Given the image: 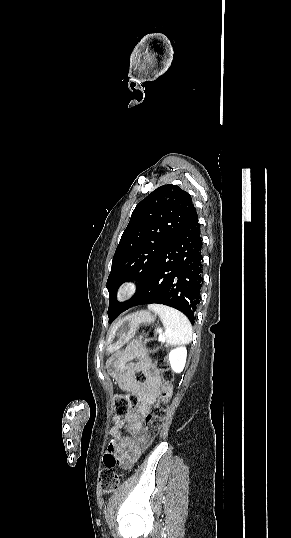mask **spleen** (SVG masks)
I'll list each match as a JSON object with an SVG mask.
<instances>
[{
    "mask_svg": "<svg viewBox=\"0 0 291 538\" xmlns=\"http://www.w3.org/2000/svg\"><path fill=\"white\" fill-rule=\"evenodd\" d=\"M149 310L156 312L166 331L169 344L189 343L192 339V326L188 318L178 310L160 304H150Z\"/></svg>",
    "mask_w": 291,
    "mask_h": 538,
    "instance_id": "obj_1",
    "label": "spleen"
}]
</instances>
